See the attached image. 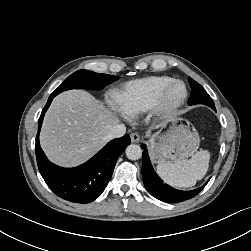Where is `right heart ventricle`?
I'll list each match as a JSON object with an SVG mask.
<instances>
[{
    "label": "right heart ventricle",
    "mask_w": 251,
    "mask_h": 251,
    "mask_svg": "<svg viewBox=\"0 0 251 251\" xmlns=\"http://www.w3.org/2000/svg\"><path fill=\"white\" fill-rule=\"evenodd\" d=\"M169 76H149L126 83L116 96V105L126 115L134 117L150 110Z\"/></svg>",
    "instance_id": "e07e8e85"
}]
</instances>
